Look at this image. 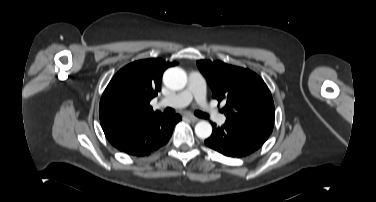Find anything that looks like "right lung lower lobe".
Returning a JSON list of instances; mask_svg holds the SVG:
<instances>
[{
	"label": "right lung lower lobe",
	"instance_id": "1",
	"mask_svg": "<svg viewBox=\"0 0 376 202\" xmlns=\"http://www.w3.org/2000/svg\"><path fill=\"white\" fill-rule=\"evenodd\" d=\"M180 120L181 116L178 114L159 113L108 140L119 151L144 156L165 145L175 124Z\"/></svg>",
	"mask_w": 376,
	"mask_h": 202
}]
</instances>
